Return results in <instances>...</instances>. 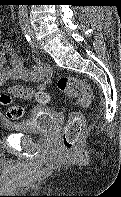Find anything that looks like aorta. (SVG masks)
<instances>
[{
  "instance_id": "1",
  "label": "aorta",
  "mask_w": 121,
  "mask_h": 197,
  "mask_svg": "<svg viewBox=\"0 0 121 197\" xmlns=\"http://www.w3.org/2000/svg\"><path fill=\"white\" fill-rule=\"evenodd\" d=\"M18 15L20 19H27L28 17L27 5H19Z\"/></svg>"
}]
</instances>
